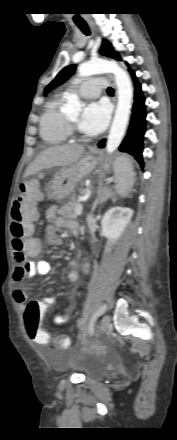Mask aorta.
I'll use <instances>...</instances> for the list:
<instances>
[{
	"label": "aorta",
	"instance_id": "obj_1",
	"mask_svg": "<svg viewBox=\"0 0 177 440\" xmlns=\"http://www.w3.org/2000/svg\"><path fill=\"white\" fill-rule=\"evenodd\" d=\"M79 77H88L101 73H113L118 89V104L110 128L106 149L113 153L121 143L129 120L132 106L133 89L129 75L116 62L92 59L78 67ZM79 80H76L77 83ZM66 113L77 114L81 110V103L76 94L67 98Z\"/></svg>",
	"mask_w": 177,
	"mask_h": 440
}]
</instances>
